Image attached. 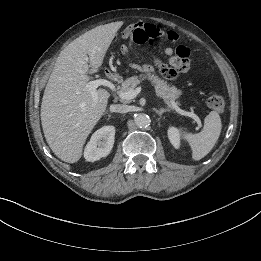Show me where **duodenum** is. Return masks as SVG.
<instances>
[{
	"label": "duodenum",
	"instance_id": "410a0bca",
	"mask_svg": "<svg viewBox=\"0 0 261 261\" xmlns=\"http://www.w3.org/2000/svg\"><path fill=\"white\" fill-rule=\"evenodd\" d=\"M106 76L108 77V79L113 80V81H117L119 78L117 74L110 72V71H108L106 73Z\"/></svg>",
	"mask_w": 261,
	"mask_h": 261
}]
</instances>
